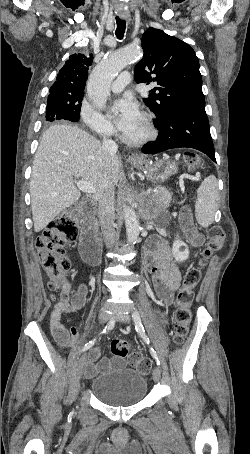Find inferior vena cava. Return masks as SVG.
Returning <instances> with one entry per match:
<instances>
[{
  "instance_id": "obj_1",
  "label": "inferior vena cava",
  "mask_w": 250,
  "mask_h": 454,
  "mask_svg": "<svg viewBox=\"0 0 250 454\" xmlns=\"http://www.w3.org/2000/svg\"><path fill=\"white\" fill-rule=\"evenodd\" d=\"M102 149L105 156L114 155L118 146L112 139L103 137ZM98 215L104 242L108 248L116 242L115 215H114V190L109 188L99 200Z\"/></svg>"
}]
</instances>
